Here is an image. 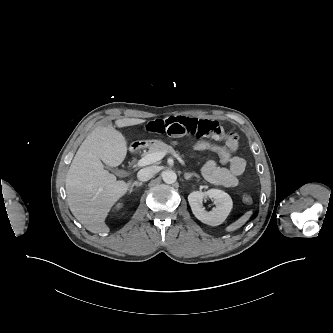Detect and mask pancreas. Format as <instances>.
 Masks as SVG:
<instances>
[{"mask_svg": "<svg viewBox=\"0 0 333 333\" xmlns=\"http://www.w3.org/2000/svg\"><path fill=\"white\" fill-rule=\"evenodd\" d=\"M154 152H165V153H171L172 155L176 154L179 156V152L175 151L173 147L170 145H167L164 142L157 141L153 143L147 152V154L154 153Z\"/></svg>", "mask_w": 333, "mask_h": 333, "instance_id": "obj_1", "label": "pancreas"}]
</instances>
